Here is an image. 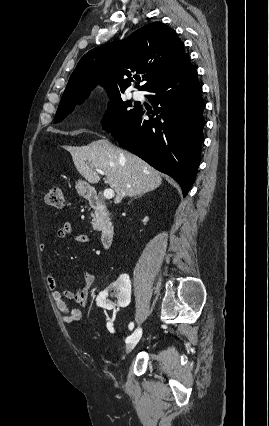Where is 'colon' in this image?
Returning a JSON list of instances; mask_svg holds the SVG:
<instances>
[{"instance_id": "obj_1", "label": "colon", "mask_w": 269, "mask_h": 426, "mask_svg": "<svg viewBox=\"0 0 269 426\" xmlns=\"http://www.w3.org/2000/svg\"><path fill=\"white\" fill-rule=\"evenodd\" d=\"M46 203L54 208L60 209L64 206L63 188L59 185L51 187L47 196Z\"/></svg>"}]
</instances>
